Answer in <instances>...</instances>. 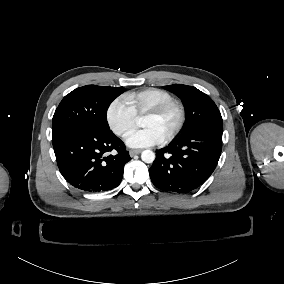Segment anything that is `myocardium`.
Instances as JSON below:
<instances>
[{"label":"myocardium","instance_id":"myocardium-1","mask_svg":"<svg viewBox=\"0 0 284 284\" xmlns=\"http://www.w3.org/2000/svg\"><path fill=\"white\" fill-rule=\"evenodd\" d=\"M171 110L176 113V121L169 134L162 139L161 142L163 144L171 142L180 132L185 120V110L183 105L176 100H170L145 112V116L159 117Z\"/></svg>","mask_w":284,"mask_h":284}]
</instances>
